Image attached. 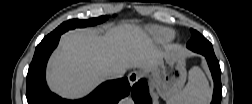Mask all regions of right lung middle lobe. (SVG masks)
Listing matches in <instances>:
<instances>
[{
	"mask_svg": "<svg viewBox=\"0 0 252 104\" xmlns=\"http://www.w3.org/2000/svg\"><path fill=\"white\" fill-rule=\"evenodd\" d=\"M108 16H101L98 18H92L88 20H79V19H71L64 23H62L58 28H56L53 32H51L49 35L44 37L43 40H49L51 38H54L58 35L63 34L64 32L74 29V28H82L87 26H93L96 24H100L107 20Z\"/></svg>",
	"mask_w": 252,
	"mask_h": 104,
	"instance_id": "1",
	"label": "right lung middle lobe"
}]
</instances>
